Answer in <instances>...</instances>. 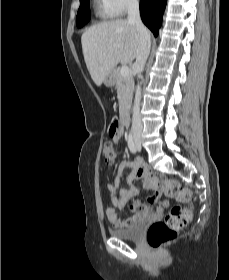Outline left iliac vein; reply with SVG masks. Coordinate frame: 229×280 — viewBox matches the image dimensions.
Here are the masks:
<instances>
[{
    "mask_svg": "<svg viewBox=\"0 0 229 280\" xmlns=\"http://www.w3.org/2000/svg\"><path fill=\"white\" fill-rule=\"evenodd\" d=\"M136 148H137V151L141 150V146L139 144H137Z\"/></svg>",
    "mask_w": 229,
    "mask_h": 280,
    "instance_id": "1",
    "label": "left iliac vein"
}]
</instances>
